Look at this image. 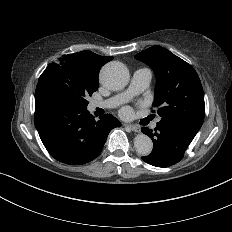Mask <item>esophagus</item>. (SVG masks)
Instances as JSON below:
<instances>
[{
	"label": "esophagus",
	"mask_w": 232,
	"mask_h": 232,
	"mask_svg": "<svg viewBox=\"0 0 232 232\" xmlns=\"http://www.w3.org/2000/svg\"><path fill=\"white\" fill-rule=\"evenodd\" d=\"M126 127L128 129H130L131 131L136 132V133H139L141 131V129L139 127L134 126V125H126Z\"/></svg>",
	"instance_id": "1"
}]
</instances>
